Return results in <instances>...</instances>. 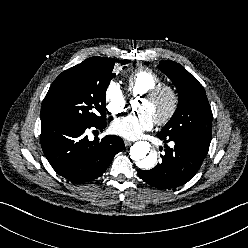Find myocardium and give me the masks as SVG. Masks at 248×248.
<instances>
[{"label":"myocardium","instance_id":"f54148a6","mask_svg":"<svg viewBox=\"0 0 248 248\" xmlns=\"http://www.w3.org/2000/svg\"><path fill=\"white\" fill-rule=\"evenodd\" d=\"M163 94L169 96L170 105L167 112L162 117L155 120L157 125H164L174 117L179 107V95L172 85L166 83H160L143 95L144 99L156 100Z\"/></svg>","mask_w":248,"mask_h":248}]
</instances>
